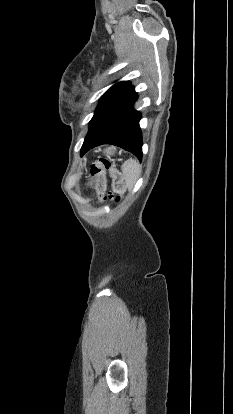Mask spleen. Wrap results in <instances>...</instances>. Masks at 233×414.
<instances>
[{
  "label": "spleen",
  "instance_id": "1",
  "mask_svg": "<svg viewBox=\"0 0 233 414\" xmlns=\"http://www.w3.org/2000/svg\"><path fill=\"white\" fill-rule=\"evenodd\" d=\"M122 172L125 177L126 185L128 189L131 190L141 174V166L139 162L135 158L127 160L122 165Z\"/></svg>",
  "mask_w": 233,
  "mask_h": 414
}]
</instances>
